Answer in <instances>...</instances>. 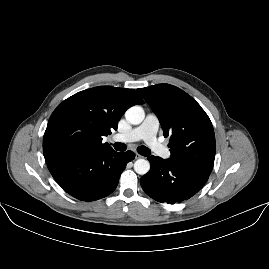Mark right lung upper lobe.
Instances as JSON below:
<instances>
[{
    "instance_id": "1",
    "label": "right lung upper lobe",
    "mask_w": 269,
    "mask_h": 269,
    "mask_svg": "<svg viewBox=\"0 0 269 269\" xmlns=\"http://www.w3.org/2000/svg\"><path fill=\"white\" fill-rule=\"evenodd\" d=\"M143 103L134 89L99 86L74 94L58 105L48 121L43 139L45 160L111 149L102 143V137L117 130L129 106Z\"/></svg>"
}]
</instances>
